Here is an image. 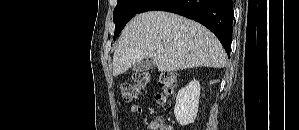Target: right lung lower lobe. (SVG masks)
Wrapping results in <instances>:
<instances>
[{"instance_id":"98d812e1","label":"right lung lower lobe","mask_w":299,"mask_h":130,"mask_svg":"<svg viewBox=\"0 0 299 130\" xmlns=\"http://www.w3.org/2000/svg\"><path fill=\"white\" fill-rule=\"evenodd\" d=\"M162 10L193 19L211 30L230 55L232 41V0H148L138 13Z\"/></svg>"}]
</instances>
